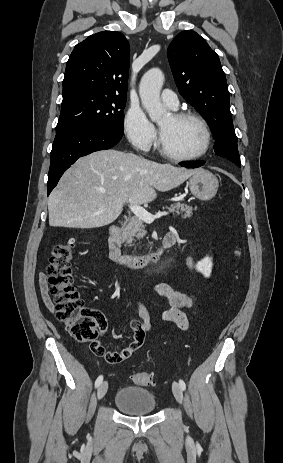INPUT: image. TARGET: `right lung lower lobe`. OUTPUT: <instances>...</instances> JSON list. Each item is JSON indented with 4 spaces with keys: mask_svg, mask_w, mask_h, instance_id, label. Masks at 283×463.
<instances>
[{
    "mask_svg": "<svg viewBox=\"0 0 283 463\" xmlns=\"http://www.w3.org/2000/svg\"><path fill=\"white\" fill-rule=\"evenodd\" d=\"M123 134L101 127H80L56 134L50 155L47 194L62 174L79 158L116 145Z\"/></svg>",
    "mask_w": 283,
    "mask_h": 463,
    "instance_id": "98d812e1",
    "label": "right lung lower lobe"
}]
</instances>
